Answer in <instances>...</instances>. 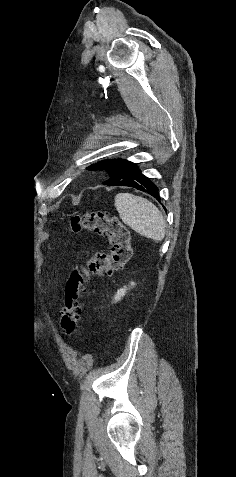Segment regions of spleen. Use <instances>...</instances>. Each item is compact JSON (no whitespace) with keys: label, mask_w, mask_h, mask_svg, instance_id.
Returning <instances> with one entry per match:
<instances>
[{"label":"spleen","mask_w":236,"mask_h":477,"mask_svg":"<svg viewBox=\"0 0 236 477\" xmlns=\"http://www.w3.org/2000/svg\"><path fill=\"white\" fill-rule=\"evenodd\" d=\"M115 207L122 221L135 232L157 242L165 237V220L152 202L130 193H119Z\"/></svg>","instance_id":"1"}]
</instances>
